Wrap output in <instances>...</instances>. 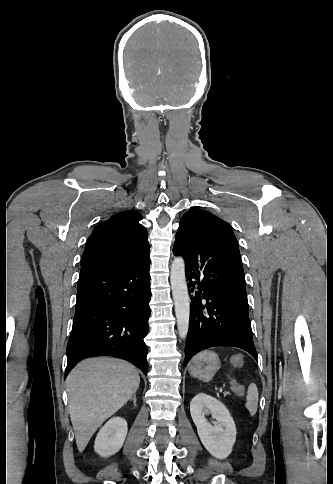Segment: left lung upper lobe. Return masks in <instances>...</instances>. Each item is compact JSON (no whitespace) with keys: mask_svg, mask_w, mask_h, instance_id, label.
I'll return each instance as SVG.
<instances>
[{"mask_svg":"<svg viewBox=\"0 0 333 484\" xmlns=\"http://www.w3.org/2000/svg\"><path fill=\"white\" fill-rule=\"evenodd\" d=\"M191 222L200 229H209L221 227L229 229L232 232L231 226L224 220L218 218L210 212L200 210L197 208L190 209L183 215L180 223Z\"/></svg>","mask_w":333,"mask_h":484,"instance_id":"obj_1","label":"left lung upper lobe"}]
</instances>
